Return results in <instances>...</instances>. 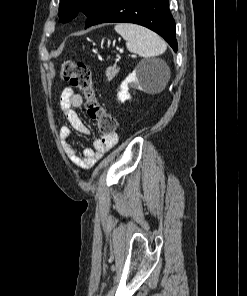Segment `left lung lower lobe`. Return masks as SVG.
I'll return each mask as SVG.
<instances>
[{"instance_id":"0a47b994","label":"left lung lower lobe","mask_w":247,"mask_h":296,"mask_svg":"<svg viewBox=\"0 0 247 296\" xmlns=\"http://www.w3.org/2000/svg\"><path fill=\"white\" fill-rule=\"evenodd\" d=\"M169 0H104L88 16L85 28L108 22L135 23L162 36L176 52L175 21L169 10Z\"/></svg>"}]
</instances>
